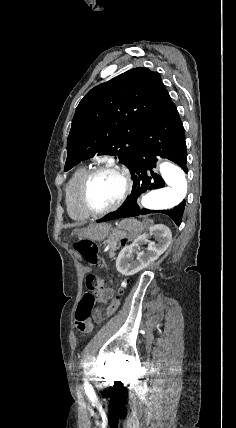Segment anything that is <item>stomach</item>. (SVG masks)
<instances>
[{"label": "stomach", "instance_id": "obj_1", "mask_svg": "<svg viewBox=\"0 0 236 428\" xmlns=\"http://www.w3.org/2000/svg\"><path fill=\"white\" fill-rule=\"evenodd\" d=\"M109 230L110 226H107V224H91V226L83 230L82 234H79V236L89 238V240H96V242H102V240H105L106 236H108Z\"/></svg>", "mask_w": 236, "mask_h": 428}]
</instances>
